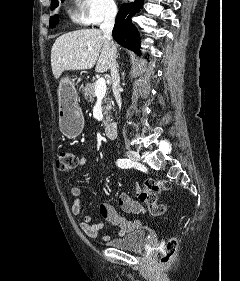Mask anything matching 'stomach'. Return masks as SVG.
Returning a JSON list of instances; mask_svg holds the SVG:
<instances>
[{"mask_svg": "<svg viewBox=\"0 0 240 281\" xmlns=\"http://www.w3.org/2000/svg\"><path fill=\"white\" fill-rule=\"evenodd\" d=\"M58 94L60 129L67 137H77L83 130L84 118L78 105V94L73 81L68 77H63L59 84Z\"/></svg>", "mask_w": 240, "mask_h": 281, "instance_id": "0dacf381", "label": "stomach"}]
</instances>
